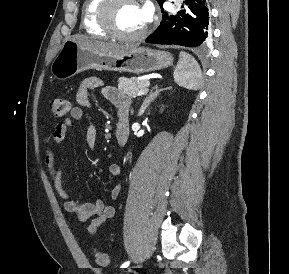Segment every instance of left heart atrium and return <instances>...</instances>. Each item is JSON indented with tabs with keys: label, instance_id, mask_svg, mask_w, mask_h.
Returning <instances> with one entry per match:
<instances>
[{
	"label": "left heart atrium",
	"instance_id": "left-heart-atrium-1",
	"mask_svg": "<svg viewBox=\"0 0 289 274\" xmlns=\"http://www.w3.org/2000/svg\"><path fill=\"white\" fill-rule=\"evenodd\" d=\"M141 11L144 17V20L148 22L153 15V6L150 2H146L141 6Z\"/></svg>",
	"mask_w": 289,
	"mask_h": 274
}]
</instances>
